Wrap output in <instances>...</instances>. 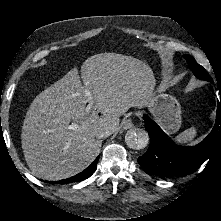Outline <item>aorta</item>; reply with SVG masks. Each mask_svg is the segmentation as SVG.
<instances>
[{
	"label": "aorta",
	"instance_id": "762f6f07",
	"mask_svg": "<svg viewBox=\"0 0 221 221\" xmlns=\"http://www.w3.org/2000/svg\"><path fill=\"white\" fill-rule=\"evenodd\" d=\"M148 142L149 135L144 129H130L125 135V143L131 149H143L147 146Z\"/></svg>",
	"mask_w": 221,
	"mask_h": 221
}]
</instances>
